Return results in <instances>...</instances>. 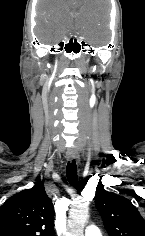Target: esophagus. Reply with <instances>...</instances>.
I'll list each match as a JSON object with an SVG mask.
<instances>
[{"mask_svg":"<svg viewBox=\"0 0 145 236\" xmlns=\"http://www.w3.org/2000/svg\"><path fill=\"white\" fill-rule=\"evenodd\" d=\"M66 156H67V159L69 161H72V160L78 158V154H77V152H76V150L74 148L68 149V151L66 153Z\"/></svg>","mask_w":145,"mask_h":236,"instance_id":"esophagus-1","label":"esophagus"}]
</instances>
